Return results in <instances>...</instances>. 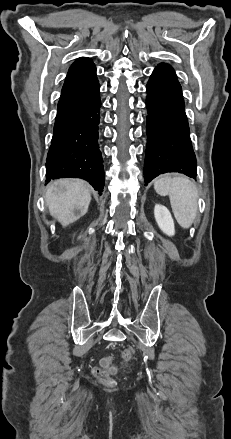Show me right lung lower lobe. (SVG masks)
I'll return each mask as SVG.
<instances>
[{
  "label": "right lung lower lobe",
  "instance_id": "obj_1",
  "mask_svg": "<svg viewBox=\"0 0 231 439\" xmlns=\"http://www.w3.org/2000/svg\"><path fill=\"white\" fill-rule=\"evenodd\" d=\"M99 89L95 75L61 92L47 155L48 182L63 177H79L87 180L101 195L105 177L98 145Z\"/></svg>",
  "mask_w": 231,
  "mask_h": 439
}]
</instances>
